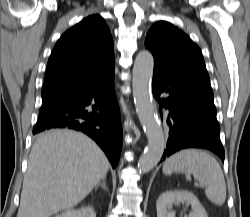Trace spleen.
Listing matches in <instances>:
<instances>
[{"label":"spleen","instance_id":"3e777b00","mask_svg":"<svg viewBox=\"0 0 250 217\" xmlns=\"http://www.w3.org/2000/svg\"><path fill=\"white\" fill-rule=\"evenodd\" d=\"M162 170L165 174H193L194 178L205 186L208 200L217 206L225 203V178L220 164L210 154L197 149L181 150L165 161Z\"/></svg>","mask_w":250,"mask_h":217}]
</instances>
